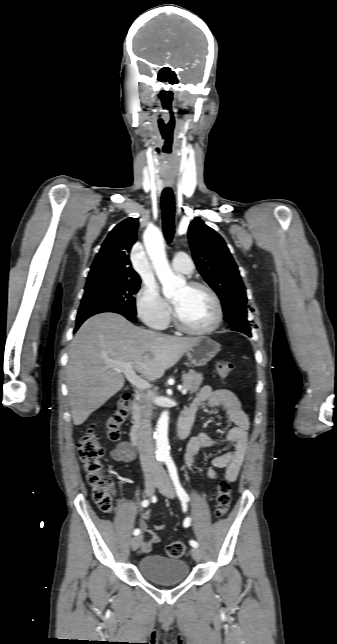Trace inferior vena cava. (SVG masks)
<instances>
[{
	"label": "inferior vena cava",
	"instance_id": "inferior-vena-cava-1",
	"mask_svg": "<svg viewBox=\"0 0 337 644\" xmlns=\"http://www.w3.org/2000/svg\"><path fill=\"white\" fill-rule=\"evenodd\" d=\"M150 418V411H144L143 418L140 423L138 444L140 461L145 474H162L163 470L156 460Z\"/></svg>",
	"mask_w": 337,
	"mask_h": 644
}]
</instances>
